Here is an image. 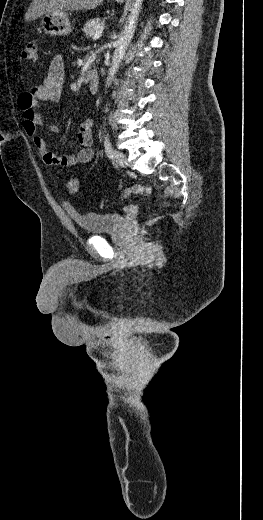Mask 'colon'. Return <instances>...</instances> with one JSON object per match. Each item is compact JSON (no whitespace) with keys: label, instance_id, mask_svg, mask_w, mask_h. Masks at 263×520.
Here are the masks:
<instances>
[{"label":"colon","instance_id":"obj_1","mask_svg":"<svg viewBox=\"0 0 263 520\" xmlns=\"http://www.w3.org/2000/svg\"><path fill=\"white\" fill-rule=\"evenodd\" d=\"M38 50L39 45L38 41L35 39H30L26 42L24 49L22 51V56L25 60L30 62H36L38 60ZM64 188L66 192L70 195H75L79 192V181L74 176L66 177L64 181ZM150 193V189L143 185L137 184L126 188L121 197L126 198L131 195H147Z\"/></svg>","mask_w":263,"mask_h":520}]
</instances>
